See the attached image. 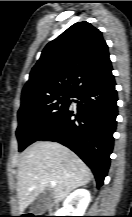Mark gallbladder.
I'll return each instance as SVG.
<instances>
[{"mask_svg":"<svg viewBox=\"0 0 132 217\" xmlns=\"http://www.w3.org/2000/svg\"><path fill=\"white\" fill-rule=\"evenodd\" d=\"M52 202V193L50 190H45L40 193L30 205L31 213L41 215L46 212Z\"/></svg>","mask_w":132,"mask_h":217,"instance_id":"bac80fb5","label":"gallbladder"}]
</instances>
